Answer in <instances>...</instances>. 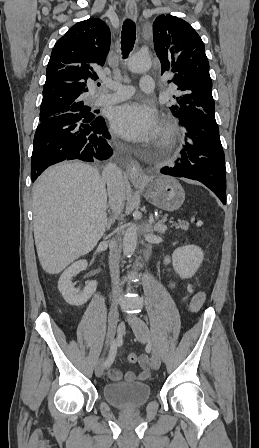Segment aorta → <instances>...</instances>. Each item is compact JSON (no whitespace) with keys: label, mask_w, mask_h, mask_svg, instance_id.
Returning <instances> with one entry per match:
<instances>
[{"label":"aorta","mask_w":259,"mask_h":448,"mask_svg":"<svg viewBox=\"0 0 259 448\" xmlns=\"http://www.w3.org/2000/svg\"><path fill=\"white\" fill-rule=\"evenodd\" d=\"M151 66V60L148 56L135 54L128 61L129 69L134 73H142L147 71ZM138 238L137 225L132 223L127 228L123 237V253L130 257L136 249Z\"/></svg>","instance_id":"obj_1"}]
</instances>
